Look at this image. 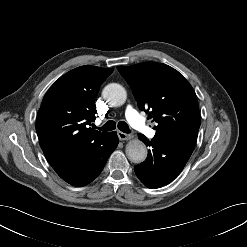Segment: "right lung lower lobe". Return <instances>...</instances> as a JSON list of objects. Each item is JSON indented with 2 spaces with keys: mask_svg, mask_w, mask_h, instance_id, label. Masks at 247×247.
<instances>
[{
  "mask_svg": "<svg viewBox=\"0 0 247 247\" xmlns=\"http://www.w3.org/2000/svg\"><path fill=\"white\" fill-rule=\"evenodd\" d=\"M118 142L117 133L110 132L95 143L69 152L51 166L67 183L87 185L100 174Z\"/></svg>",
  "mask_w": 247,
  "mask_h": 247,
  "instance_id": "obj_1",
  "label": "right lung lower lobe"
}]
</instances>
